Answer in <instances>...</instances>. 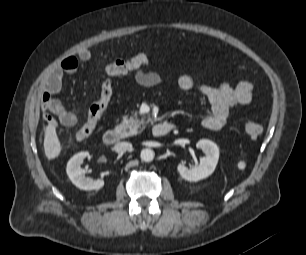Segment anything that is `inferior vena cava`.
Masks as SVG:
<instances>
[{
	"label": "inferior vena cava",
	"instance_id": "1",
	"mask_svg": "<svg viewBox=\"0 0 306 255\" xmlns=\"http://www.w3.org/2000/svg\"><path fill=\"white\" fill-rule=\"evenodd\" d=\"M131 148H132V144L129 142H120L114 146V150L118 154H123L126 151H129Z\"/></svg>",
	"mask_w": 306,
	"mask_h": 255
}]
</instances>
